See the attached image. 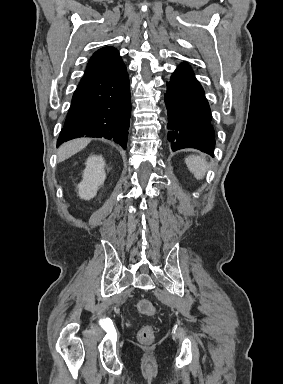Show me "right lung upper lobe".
Wrapping results in <instances>:
<instances>
[{
    "label": "right lung upper lobe",
    "instance_id": "cb5924a9",
    "mask_svg": "<svg viewBox=\"0 0 283 384\" xmlns=\"http://www.w3.org/2000/svg\"><path fill=\"white\" fill-rule=\"evenodd\" d=\"M122 62L119 52L113 47H104L96 51L90 58L85 73L101 71L114 67Z\"/></svg>",
    "mask_w": 283,
    "mask_h": 384
}]
</instances>
